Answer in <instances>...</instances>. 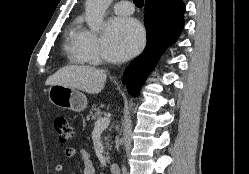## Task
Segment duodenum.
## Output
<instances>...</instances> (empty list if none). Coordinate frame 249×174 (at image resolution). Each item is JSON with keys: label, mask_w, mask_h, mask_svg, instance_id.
Listing matches in <instances>:
<instances>
[{"label": "duodenum", "mask_w": 249, "mask_h": 174, "mask_svg": "<svg viewBox=\"0 0 249 174\" xmlns=\"http://www.w3.org/2000/svg\"><path fill=\"white\" fill-rule=\"evenodd\" d=\"M109 168L111 174H120V166L117 163L111 164Z\"/></svg>", "instance_id": "410a0bca"}]
</instances>
